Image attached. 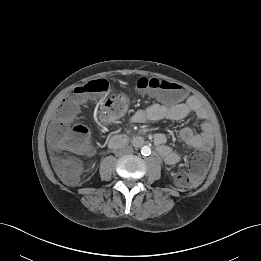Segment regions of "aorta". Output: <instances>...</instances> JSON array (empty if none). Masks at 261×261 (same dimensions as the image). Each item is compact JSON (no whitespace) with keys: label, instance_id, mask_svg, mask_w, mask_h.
<instances>
[{"label":"aorta","instance_id":"762f6f07","mask_svg":"<svg viewBox=\"0 0 261 261\" xmlns=\"http://www.w3.org/2000/svg\"><path fill=\"white\" fill-rule=\"evenodd\" d=\"M141 153H142V155H145V156L149 155L151 153L150 147L149 146H143L141 148Z\"/></svg>","mask_w":261,"mask_h":261}]
</instances>
